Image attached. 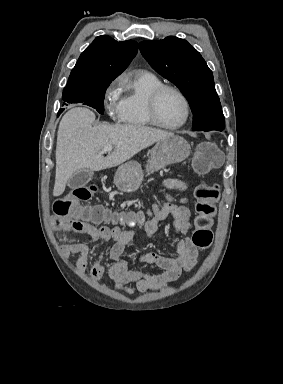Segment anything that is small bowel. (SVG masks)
I'll return each mask as SVG.
<instances>
[{
  "instance_id": "c3829d8e",
  "label": "small bowel",
  "mask_w": 283,
  "mask_h": 384,
  "mask_svg": "<svg viewBox=\"0 0 283 384\" xmlns=\"http://www.w3.org/2000/svg\"><path fill=\"white\" fill-rule=\"evenodd\" d=\"M164 186L169 190L185 191L187 183L182 180L168 178ZM187 199L181 198L179 203L166 202L156 208L153 217L144 224L148 237L154 238L161 221L171 216L173 219L174 232L181 236L176 242V255L166 256L156 252H147L139 257L140 262L159 267L160 273H145L140 270L131 269L123 254L134 237L131 228L121 229L117 225L96 226L84 221H73L62 218L55 213L52 216L51 225L57 231H69L87 235L94 241H112L110 250L111 265L108 270L109 277L113 280L117 290L124 291L129 295L136 292L147 293L166 287L169 283L176 281L183 272H190L197 264L198 248L193 244L187 234L192 229L191 212L187 207ZM64 258L72 254L78 255L77 269L84 272L88 267L90 248L83 242H70L61 249ZM105 254L102 252L97 261L90 269V277L97 280L104 273Z\"/></svg>"
}]
</instances>
